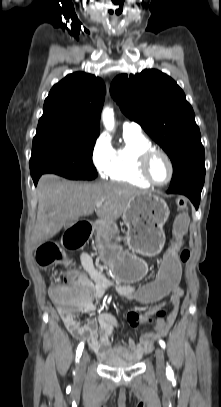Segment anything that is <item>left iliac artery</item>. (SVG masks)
I'll use <instances>...</instances> for the list:
<instances>
[{
  "instance_id": "left-iliac-artery-1",
  "label": "left iliac artery",
  "mask_w": 221,
  "mask_h": 407,
  "mask_svg": "<svg viewBox=\"0 0 221 407\" xmlns=\"http://www.w3.org/2000/svg\"><path fill=\"white\" fill-rule=\"evenodd\" d=\"M159 344H160V346H161L163 349H165L166 344H165V342H164L163 340H159ZM166 373H167V376H168V377H172V376H173V371H172V369H171L170 366H167V368H166Z\"/></svg>"
}]
</instances>
